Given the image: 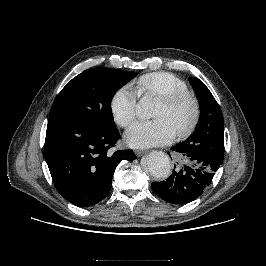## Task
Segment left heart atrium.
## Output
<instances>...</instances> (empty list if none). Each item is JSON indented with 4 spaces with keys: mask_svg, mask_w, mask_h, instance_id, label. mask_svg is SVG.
Masks as SVG:
<instances>
[{
    "mask_svg": "<svg viewBox=\"0 0 266 266\" xmlns=\"http://www.w3.org/2000/svg\"><path fill=\"white\" fill-rule=\"evenodd\" d=\"M175 134L176 131L165 118H156L132 124L125 134V140L132 147L146 148L169 143Z\"/></svg>",
    "mask_w": 266,
    "mask_h": 266,
    "instance_id": "obj_1",
    "label": "left heart atrium"
}]
</instances>
